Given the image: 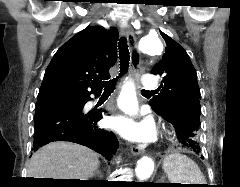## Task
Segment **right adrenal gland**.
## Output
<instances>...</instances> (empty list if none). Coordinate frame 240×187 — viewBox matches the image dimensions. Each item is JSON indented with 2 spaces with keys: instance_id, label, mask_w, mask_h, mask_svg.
Returning <instances> with one entry per match:
<instances>
[{
  "instance_id": "1",
  "label": "right adrenal gland",
  "mask_w": 240,
  "mask_h": 187,
  "mask_svg": "<svg viewBox=\"0 0 240 187\" xmlns=\"http://www.w3.org/2000/svg\"><path fill=\"white\" fill-rule=\"evenodd\" d=\"M93 176H100L102 177V174H101V171L99 169H97L95 172H94V175Z\"/></svg>"
}]
</instances>
